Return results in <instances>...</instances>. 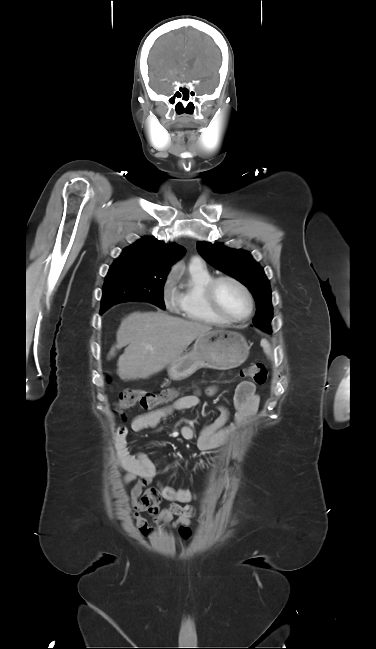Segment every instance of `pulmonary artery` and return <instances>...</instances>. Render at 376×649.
Returning a JSON list of instances; mask_svg holds the SVG:
<instances>
[{
  "instance_id": "pulmonary-artery-1",
  "label": "pulmonary artery",
  "mask_w": 376,
  "mask_h": 649,
  "mask_svg": "<svg viewBox=\"0 0 376 649\" xmlns=\"http://www.w3.org/2000/svg\"><path fill=\"white\" fill-rule=\"evenodd\" d=\"M192 263H202V260L196 256L192 259Z\"/></svg>"
}]
</instances>
